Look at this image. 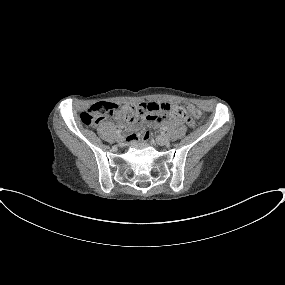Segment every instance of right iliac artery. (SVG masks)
<instances>
[{
    "label": "right iliac artery",
    "instance_id": "right-iliac-artery-1",
    "mask_svg": "<svg viewBox=\"0 0 285 285\" xmlns=\"http://www.w3.org/2000/svg\"><path fill=\"white\" fill-rule=\"evenodd\" d=\"M121 132H122V131L118 129V130L116 131V134L120 135Z\"/></svg>",
    "mask_w": 285,
    "mask_h": 285
}]
</instances>
